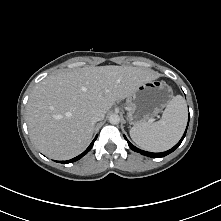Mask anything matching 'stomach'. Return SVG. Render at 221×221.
I'll use <instances>...</instances> for the list:
<instances>
[{
  "label": "stomach",
  "mask_w": 221,
  "mask_h": 221,
  "mask_svg": "<svg viewBox=\"0 0 221 221\" xmlns=\"http://www.w3.org/2000/svg\"><path fill=\"white\" fill-rule=\"evenodd\" d=\"M172 88L163 81L151 80L140 84L127 98V119L138 125L154 118L171 101Z\"/></svg>",
  "instance_id": "stomach-1"
}]
</instances>
